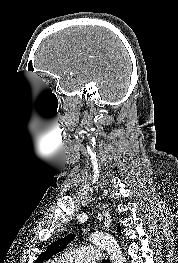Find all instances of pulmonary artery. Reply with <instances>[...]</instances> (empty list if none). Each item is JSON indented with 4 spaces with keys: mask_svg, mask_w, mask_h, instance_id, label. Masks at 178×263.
<instances>
[{
    "mask_svg": "<svg viewBox=\"0 0 178 263\" xmlns=\"http://www.w3.org/2000/svg\"><path fill=\"white\" fill-rule=\"evenodd\" d=\"M101 258L99 249L84 246L63 253L57 258L59 263H96Z\"/></svg>",
    "mask_w": 178,
    "mask_h": 263,
    "instance_id": "obj_1",
    "label": "pulmonary artery"
}]
</instances>
